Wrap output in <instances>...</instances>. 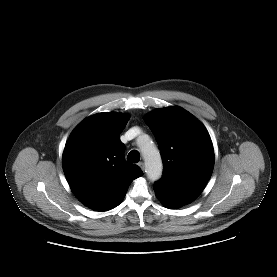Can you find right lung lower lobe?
<instances>
[{
  "mask_svg": "<svg viewBox=\"0 0 277 277\" xmlns=\"http://www.w3.org/2000/svg\"><path fill=\"white\" fill-rule=\"evenodd\" d=\"M119 204H120V202H119L117 205H119ZM117 205H116V206H117ZM116 206H114V207H116ZM114 207H113V208H114Z\"/></svg>",
  "mask_w": 277,
  "mask_h": 277,
  "instance_id": "98d812e1",
  "label": "right lung lower lobe"
}]
</instances>
